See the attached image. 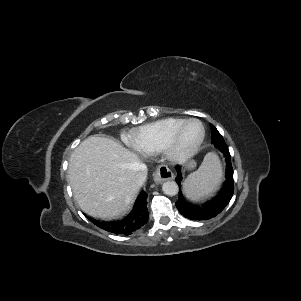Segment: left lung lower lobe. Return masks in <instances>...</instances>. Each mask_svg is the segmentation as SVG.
<instances>
[{
  "label": "left lung lower lobe",
  "mask_w": 301,
  "mask_h": 301,
  "mask_svg": "<svg viewBox=\"0 0 301 301\" xmlns=\"http://www.w3.org/2000/svg\"><path fill=\"white\" fill-rule=\"evenodd\" d=\"M212 139H217L215 135H211ZM214 143L217 148L224 154L226 166H225V182L221 188V190L214 196L212 199L206 201L202 205H193L185 201L183 198L181 188L179 191V199L176 202V207L179 212L186 218L191 220H208L212 217H215L218 213H220L230 202L233 191H234V180H233V168L231 164V157L228 150V147L224 142H220L219 140H215ZM216 147V146H215ZM177 177L176 182L178 185H181L182 174L180 166H176Z\"/></svg>",
  "instance_id": "0a47b994"
}]
</instances>
